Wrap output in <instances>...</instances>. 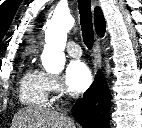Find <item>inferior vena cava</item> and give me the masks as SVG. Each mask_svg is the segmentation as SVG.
Listing matches in <instances>:
<instances>
[{"label": "inferior vena cava", "instance_id": "inferior-vena-cava-1", "mask_svg": "<svg viewBox=\"0 0 142 128\" xmlns=\"http://www.w3.org/2000/svg\"><path fill=\"white\" fill-rule=\"evenodd\" d=\"M67 120H68L69 123H71L72 125H74V123H73V121H72V119L70 117H67Z\"/></svg>", "mask_w": 142, "mask_h": 128}]
</instances>
